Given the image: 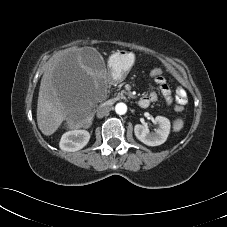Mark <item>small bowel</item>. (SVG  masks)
I'll return each instance as SVG.
<instances>
[{
  "label": "small bowel",
  "mask_w": 227,
  "mask_h": 227,
  "mask_svg": "<svg viewBox=\"0 0 227 227\" xmlns=\"http://www.w3.org/2000/svg\"><path fill=\"white\" fill-rule=\"evenodd\" d=\"M155 82L158 85L164 99L168 104H171L173 100L177 103V106H183L187 103V94L185 90L181 87L177 88L176 94L173 97L170 88L167 85L166 79L163 76H158L155 78ZM149 104L155 102L158 99L156 92L151 91L148 96L143 97Z\"/></svg>",
  "instance_id": "c3829d8e"
}]
</instances>
